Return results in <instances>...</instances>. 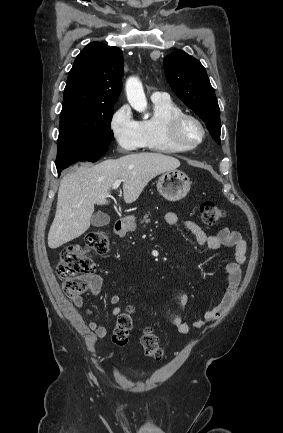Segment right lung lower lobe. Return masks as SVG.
Masks as SVG:
<instances>
[{"label": "right lung lower lobe", "instance_id": "98d812e1", "mask_svg": "<svg viewBox=\"0 0 283 433\" xmlns=\"http://www.w3.org/2000/svg\"><path fill=\"white\" fill-rule=\"evenodd\" d=\"M107 149L91 150L78 147L59 148L56 159L57 171L60 175V172L63 169L69 167L71 164L79 160L95 162L107 151Z\"/></svg>", "mask_w": 283, "mask_h": 433}]
</instances>
